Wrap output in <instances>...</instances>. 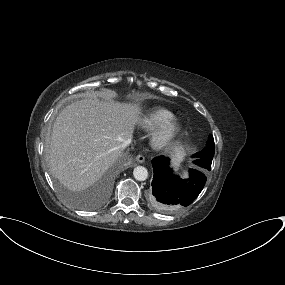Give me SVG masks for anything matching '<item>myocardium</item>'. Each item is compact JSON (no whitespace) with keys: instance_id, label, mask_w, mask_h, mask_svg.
Here are the masks:
<instances>
[{"instance_id":"obj_1","label":"myocardium","mask_w":285,"mask_h":285,"mask_svg":"<svg viewBox=\"0 0 285 285\" xmlns=\"http://www.w3.org/2000/svg\"><path fill=\"white\" fill-rule=\"evenodd\" d=\"M177 132L178 125L175 122L163 126L153 134V145L159 149L168 148L173 143Z\"/></svg>"}]
</instances>
